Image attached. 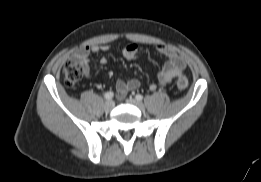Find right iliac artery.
<instances>
[{
    "instance_id": "obj_1",
    "label": "right iliac artery",
    "mask_w": 261,
    "mask_h": 182,
    "mask_svg": "<svg viewBox=\"0 0 261 182\" xmlns=\"http://www.w3.org/2000/svg\"><path fill=\"white\" fill-rule=\"evenodd\" d=\"M104 97L107 100H111L114 97V93L112 91H108V92L105 93Z\"/></svg>"
}]
</instances>
